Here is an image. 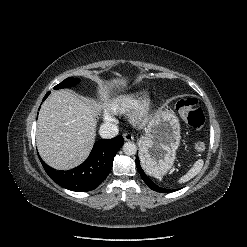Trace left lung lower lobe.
<instances>
[{"instance_id":"obj_1","label":"left lung lower lobe","mask_w":247,"mask_h":247,"mask_svg":"<svg viewBox=\"0 0 247 247\" xmlns=\"http://www.w3.org/2000/svg\"><path fill=\"white\" fill-rule=\"evenodd\" d=\"M136 166H137V169H138V172L140 173L142 179L144 180V182L154 191H157V192H173L175 190H169V189H165V188H160L158 187L156 184H154L152 182V180L150 178L147 177V175L144 173L143 169L141 168L140 166V163H139V157L136 158Z\"/></svg>"}]
</instances>
